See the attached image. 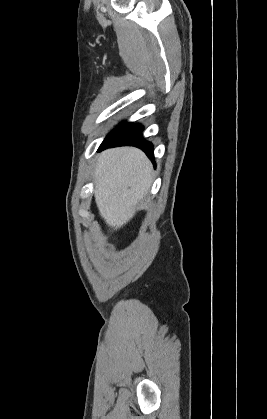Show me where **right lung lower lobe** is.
<instances>
[{
	"mask_svg": "<svg viewBox=\"0 0 267 419\" xmlns=\"http://www.w3.org/2000/svg\"><path fill=\"white\" fill-rule=\"evenodd\" d=\"M142 131L141 125L124 122L107 135L98 151L116 146H135L154 162L153 145L143 138Z\"/></svg>",
	"mask_w": 267,
	"mask_h": 419,
	"instance_id": "obj_1",
	"label": "right lung lower lobe"
}]
</instances>
